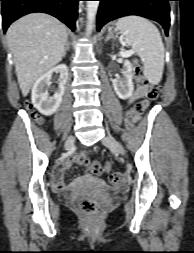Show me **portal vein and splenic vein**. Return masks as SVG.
<instances>
[{"mask_svg":"<svg viewBox=\"0 0 194 253\" xmlns=\"http://www.w3.org/2000/svg\"><path fill=\"white\" fill-rule=\"evenodd\" d=\"M133 53H134L133 50H129V51L121 52L120 54H121V56L126 57V56L132 55Z\"/></svg>","mask_w":194,"mask_h":253,"instance_id":"obj_1","label":"portal vein and splenic vein"}]
</instances>
